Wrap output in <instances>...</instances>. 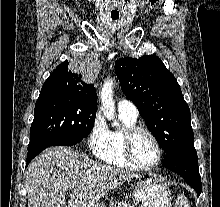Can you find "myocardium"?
<instances>
[{
	"label": "myocardium",
	"mask_w": 220,
	"mask_h": 207,
	"mask_svg": "<svg viewBox=\"0 0 220 207\" xmlns=\"http://www.w3.org/2000/svg\"><path fill=\"white\" fill-rule=\"evenodd\" d=\"M138 133H145L147 134L152 141L154 142L156 149H157V160L155 163L151 164V165H143L141 164L135 157L134 152H133V141L135 136ZM123 147H124V152L125 155L127 157V159L134 165L136 166L138 169L141 170H152L154 168H156L162 161V156H163V151H162V147L161 144L158 140V138L156 137V135L148 128L143 127V126H138V125H134L131 126L129 128H127L124 132V136H123Z\"/></svg>",
	"instance_id": "obj_1"
}]
</instances>
